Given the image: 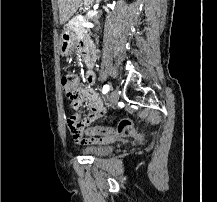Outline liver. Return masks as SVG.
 Masks as SVG:
<instances>
[{
    "instance_id": "1",
    "label": "liver",
    "mask_w": 217,
    "mask_h": 202,
    "mask_svg": "<svg viewBox=\"0 0 217 202\" xmlns=\"http://www.w3.org/2000/svg\"><path fill=\"white\" fill-rule=\"evenodd\" d=\"M82 0H58L60 24L68 22L74 16Z\"/></svg>"
}]
</instances>
